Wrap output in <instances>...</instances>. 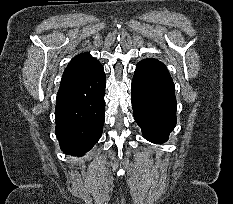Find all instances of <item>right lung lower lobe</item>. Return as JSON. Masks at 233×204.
Segmentation results:
<instances>
[{"label": "right lung lower lobe", "mask_w": 233, "mask_h": 204, "mask_svg": "<svg viewBox=\"0 0 233 204\" xmlns=\"http://www.w3.org/2000/svg\"><path fill=\"white\" fill-rule=\"evenodd\" d=\"M105 88L102 65L83 78L60 85L55 133L64 153L83 155L100 139L105 119Z\"/></svg>", "instance_id": "1"}]
</instances>
